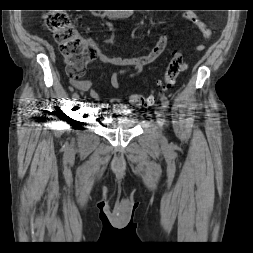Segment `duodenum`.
<instances>
[{
	"instance_id": "1",
	"label": "duodenum",
	"mask_w": 253,
	"mask_h": 253,
	"mask_svg": "<svg viewBox=\"0 0 253 253\" xmlns=\"http://www.w3.org/2000/svg\"><path fill=\"white\" fill-rule=\"evenodd\" d=\"M104 14L110 19H122L129 16L130 12L125 9H113L105 11Z\"/></svg>"
}]
</instances>
